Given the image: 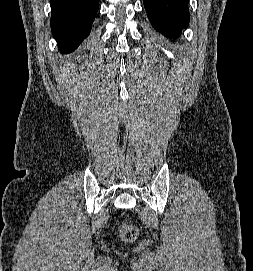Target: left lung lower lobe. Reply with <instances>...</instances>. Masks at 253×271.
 <instances>
[{"instance_id": "obj_1", "label": "left lung lower lobe", "mask_w": 253, "mask_h": 271, "mask_svg": "<svg viewBox=\"0 0 253 271\" xmlns=\"http://www.w3.org/2000/svg\"><path fill=\"white\" fill-rule=\"evenodd\" d=\"M154 28L166 36H178L189 23L188 0H143Z\"/></svg>"}]
</instances>
